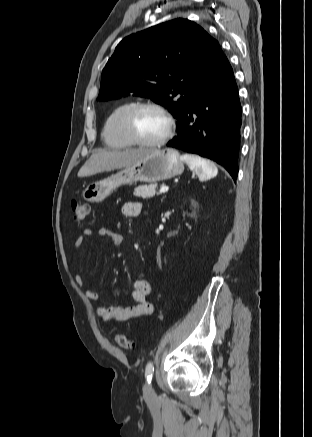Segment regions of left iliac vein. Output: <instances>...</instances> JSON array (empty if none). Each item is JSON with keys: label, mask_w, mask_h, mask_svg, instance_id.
Returning a JSON list of instances; mask_svg holds the SVG:
<instances>
[{"label": "left iliac vein", "mask_w": 312, "mask_h": 437, "mask_svg": "<svg viewBox=\"0 0 312 437\" xmlns=\"http://www.w3.org/2000/svg\"><path fill=\"white\" fill-rule=\"evenodd\" d=\"M154 390H153V388H152V386H146L145 387V389H144V395L147 397V398H152L153 396H154Z\"/></svg>", "instance_id": "4c4485c4"}]
</instances>
